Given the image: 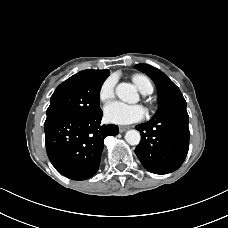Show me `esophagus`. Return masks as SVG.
I'll return each mask as SVG.
<instances>
[{"mask_svg":"<svg viewBox=\"0 0 228 228\" xmlns=\"http://www.w3.org/2000/svg\"><path fill=\"white\" fill-rule=\"evenodd\" d=\"M128 129H129V127L120 126V127H119V132L123 133V132L127 131Z\"/></svg>","mask_w":228,"mask_h":228,"instance_id":"obj_1","label":"esophagus"}]
</instances>
